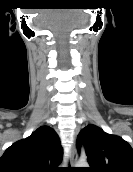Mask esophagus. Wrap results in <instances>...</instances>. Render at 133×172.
Listing matches in <instances>:
<instances>
[{"label":"esophagus","mask_w":133,"mask_h":172,"mask_svg":"<svg viewBox=\"0 0 133 172\" xmlns=\"http://www.w3.org/2000/svg\"><path fill=\"white\" fill-rule=\"evenodd\" d=\"M77 158H78V154H77L76 147L74 145L71 151V156H70V163L72 166L76 164Z\"/></svg>","instance_id":"esophagus-1"}]
</instances>
